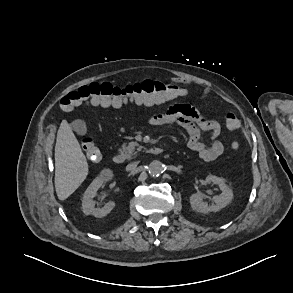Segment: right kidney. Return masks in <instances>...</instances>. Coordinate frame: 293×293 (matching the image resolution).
Wrapping results in <instances>:
<instances>
[{
    "mask_svg": "<svg viewBox=\"0 0 293 293\" xmlns=\"http://www.w3.org/2000/svg\"><path fill=\"white\" fill-rule=\"evenodd\" d=\"M112 177V172L109 171L108 178ZM103 180L99 177L95 178L89 187L86 189L82 199V209L85 215H93L101 218L106 216L114 208V202L107 203L103 208H95L94 196L96 191L102 186Z\"/></svg>",
    "mask_w": 293,
    "mask_h": 293,
    "instance_id": "right-kidney-1",
    "label": "right kidney"
}]
</instances>
